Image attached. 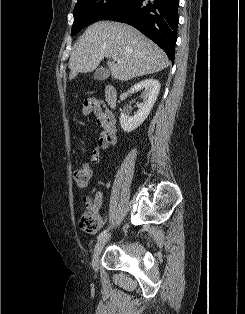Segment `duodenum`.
<instances>
[{
  "instance_id": "duodenum-1",
  "label": "duodenum",
  "mask_w": 245,
  "mask_h": 314,
  "mask_svg": "<svg viewBox=\"0 0 245 314\" xmlns=\"http://www.w3.org/2000/svg\"><path fill=\"white\" fill-rule=\"evenodd\" d=\"M117 89L114 85L105 88V102L109 108H114L117 104Z\"/></svg>"
}]
</instances>
